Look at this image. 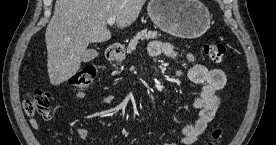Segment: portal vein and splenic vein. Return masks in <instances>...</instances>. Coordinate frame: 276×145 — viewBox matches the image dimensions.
I'll return each instance as SVG.
<instances>
[{
	"label": "portal vein and splenic vein",
	"instance_id": "1",
	"mask_svg": "<svg viewBox=\"0 0 276 145\" xmlns=\"http://www.w3.org/2000/svg\"><path fill=\"white\" fill-rule=\"evenodd\" d=\"M115 20H116V18L115 17H110L108 20H107V23H108V25H113L114 23H115Z\"/></svg>",
	"mask_w": 276,
	"mask_h": 145
}]
</instances>
